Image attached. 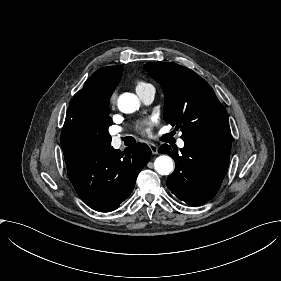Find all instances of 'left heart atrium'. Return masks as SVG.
<instances>
[{"instance_id": "obj_1", "label": "left heart atrium", "mask_w": 281, "mask_h": 281, "mask_svg": "<svg viewBox=\"0 0 281 281\" xmlns=\"http://www.w3.org/2000/svg\"><path fill=\"white\" fill-rule=\"evenodd\" d=\"M156 123H157V119L151 117L138 122L137 129L144 133H150L152 126L155 125Z\"/></svg>"}]
</instances>
